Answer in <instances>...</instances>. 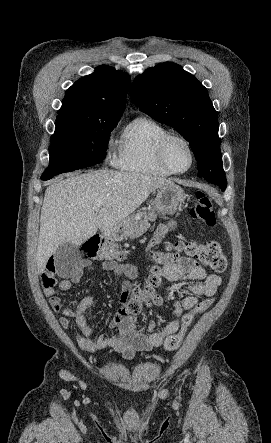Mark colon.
Returning a JSON list of instances; mask_svg holds the SVG:
<instances>
[{
  "label": "colon",
  "mask_w": 271,
  "mask_h": 443,
  "mask_svg": "<svg viewBox=\"0 0 271 443\" xmlns=\"http://www.w3.org/2000/svg\"><path fill=\"white\" fill-rule=\"evenodd\" d=\"M190 216L207 226H213L216 218L211 198L205 193L198 191L196 193V202L190 209ZM171 247L179 251H185L188 255L197 258L203 265L215 272H223L227 267V260L218 242L197 243L194 241H179ZM83 254L88 259L106 261L123 260L125 258L123 250L99 237H93L86 243ZM153 258L154 261L159 262L162 258V253L159 251L154 252ZM160 274L159 266L153 265L148 284L144 288L139 286L131 287L128 303V311L131 314L139 313L144 304H160L161 298L157 294V288L161 283ZM41 285L44 289H51L56 285V269L52 260L41 274ZM213 302V298L205 299L198 302L191 310L185 313L181 319L179 330L166 337L164 349L168 352L177 350L193 320L205 312Z\"/></svg>",
  "instance_id": "1"
}]
</instances>
